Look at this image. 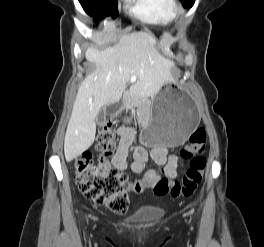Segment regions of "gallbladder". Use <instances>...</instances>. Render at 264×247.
<instances>
[{
	"label": "gallbladder",
	"mask_w": 264,
	"mask_h": 247,
	"mask_svg": "<svg viewBox=\"0 0 264 247\" xmlns=\"http://www.w3.org/2000/svg\"><path fill=\"white\" fill-rule=\"evenodd\" d=\"M105 111H104V109H101V111H99V114H98V119H97V121H96V123L97 124H104V122H105V120H104V118H105Z\"/></svg>",
	"instance_id": "gallbladder-1"
}]
</instances>
